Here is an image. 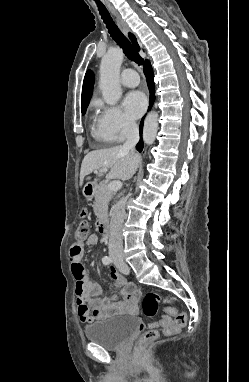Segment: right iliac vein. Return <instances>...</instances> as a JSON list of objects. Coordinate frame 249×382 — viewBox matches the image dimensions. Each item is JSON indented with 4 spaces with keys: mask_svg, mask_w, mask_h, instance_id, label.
<instances>
[{
    "mask_svg": "<svg viewBox=\"0 0 249 382\" xmlns=\"http://www.w3.org/2000/svg\"><path fill=\"white\" fill-rule=\"evenodd\" d=\"M114 260L118 261V260H120V257H115Z\"/></svg>",
    "mask_w": 249,
    "mask_h": 382,
    "instance_id": "63e3f726",
    "label": "right iliac vein"
}]
</instances>
